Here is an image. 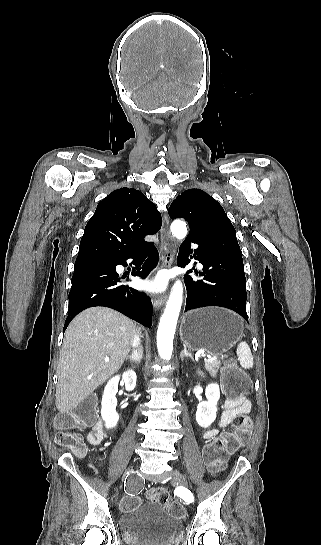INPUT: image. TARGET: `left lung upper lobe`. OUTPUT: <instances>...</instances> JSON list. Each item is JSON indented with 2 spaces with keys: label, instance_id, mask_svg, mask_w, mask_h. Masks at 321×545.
I'll use <instances>...</instances> for the list:
<instances>
[{
  "label": "left lung upper lobe",
  "instance_id": "1",
  "mask_svg": "<svg viewBox=\"0 0 321 545\" xmlns=\"http://www.w3.org/2000/svg\"><path fill=\"white\" fill-rule=\"evenodd\" d=\"M169 216L188 221L190 232L216 226L233 227L222 206L200 189H188L178 196L169 207Z\"/></svg>",
  "mask_w": 321,
  "mask_h": 545
}]
</instances>
